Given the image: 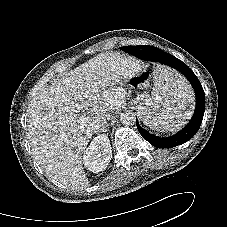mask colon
Listing matches in <instances>:
<instances>
[{
    "label": "colon",
    "instance_id": "5ec220e1",
    "mask_svg": "<svg viewBox=\"0 0 227 227\" xmlns=\"http://www.w3.org/2000/svg\"><path fill=\"white\" fill-rule=\"evenodd\" d=\"M148 79V75L147 74H142L139 76H136L133 78V82L135 84H144Z\"/></svg>",
    "mask_w": 227,
    "mask_h": 227
}]
</instances>
